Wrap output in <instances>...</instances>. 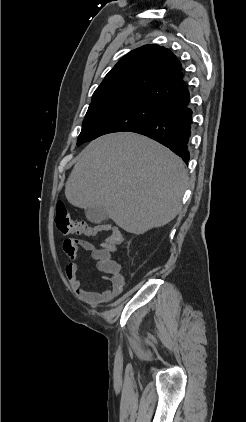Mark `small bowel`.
I'll return each instance as SVG.
<instances>
[{"mask_svg":"<svg viewBox=\"0 0 246 422\" xmlns=\"http://www.w3.org/2000/svg\"><path fill=\"white\" fill-rule=\"evenodd\" d=\"M80 247L86 251H90L93 258L97 261L99 270L107 274L105 279L109 285L104 291H87L84 288V282L79 278L80 264L78 262V250ZM63 250L69 257V263L65 269L66 277L84 301L93 305L104 304L110 302L122 292L124 277L121 273V265L112 260L109 252L96 248L90 241L76 239H66L63 243ZM107 262H113L112 269L105 268Z\"/></svg>","mask_w":246,"mask_h":422,"instance_id":"c3829d8e","label":"small bowel"}]
</instances>
